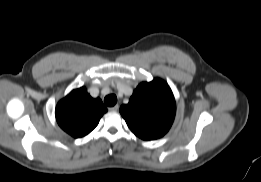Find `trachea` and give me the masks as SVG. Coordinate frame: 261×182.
Returning <instances> with one entry per match:
<instances>
[{
    "instance_id": "1",
    "label": "trachea",
    "mask_w": 261,
    "mask_h": 182,
    "mask_svg": "<svg viewBox=\"0 0 261 182\" xmlns=\"http://www.w3.org/2000/svg\"><path fill=\"white\" fill-rule=\"evenodd\" d=\"M117 102V97L114 94L108 95L104 98V103L109 106L112 107L116 104Z\"/></svg>"
}]
</instances>
